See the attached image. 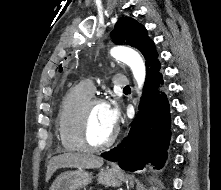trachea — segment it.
I'll return each mask as SVG.
<instances>
[{"label":"trachea","instance_id":"trachea-1","mask_svg":"<svg viewBox=\"0 0 221 190\" xmlns=\"http://www.w3.org/2000/svg\"><path fill=\"white\" fill-rule=\"evenodd\" d=\"M124 90H130L129 86L124 87Z\"/></svg>","mask_w":221,"mask_h":190}]
</instances>
